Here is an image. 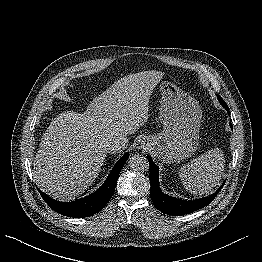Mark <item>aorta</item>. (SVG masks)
I'll use <instances>...</instances> for the list:
<instances>
[{
  "mask_svg": "<svg viewBox=\"0 0 262 262\" xmlns=\"http://www.w3.org/2000/svg\"><path fill=\"white\" fill-rule=\"evenodd\" d=\"M128 164L130 168H132L135 171H146L149 167L147 158L142 155L132 156L129 159Z\"/></svg>",
  "mask_w": 262,
  "mask_h": 262,
  "instance_id": "aorta-1",
  "label": "aorta"
}]
</instances>
